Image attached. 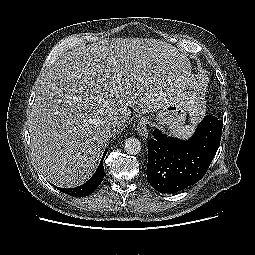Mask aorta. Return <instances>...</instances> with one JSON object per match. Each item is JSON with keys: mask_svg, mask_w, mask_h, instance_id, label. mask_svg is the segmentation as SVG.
<instances>
[{"mask_svg": "<svg viewBox=\"0 0 255 255\" xmlns=\"http://www.w3.org/2000/svg\"><path fill=\"white\" fill-rule=\"evenodd\" d=\"M124 150L127 154L136 155L141 151V143L138 139L130 137L124 142Z\"/></svg>", "mask_w": 255, "mask_h": 255, "instance_id": "1", "label": "aorta"}]
</instances>
